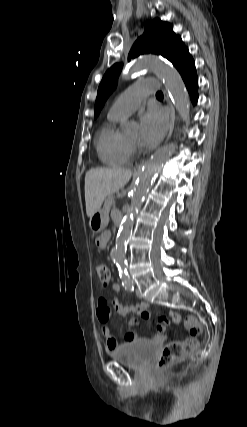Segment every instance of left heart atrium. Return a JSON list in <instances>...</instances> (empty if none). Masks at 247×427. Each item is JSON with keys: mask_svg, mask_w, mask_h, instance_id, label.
<instances>
[{"mask_svg": "<svg viewBox=\"0 0 247 427\" xmlns=\"http://www.w3.org/2000/svg\"><path fill=\"white\" fill-rule=\"evenodd\" d=\"M167 127L166 114L157 107L149 108L140 119V144L144 147L155 146L165 135Z\"/></svg>", "mask_w": 247, "mask_h": 427, "instance_id": "1", "label": "left heart atrium"}]
</instances>
